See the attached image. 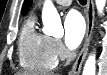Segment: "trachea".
Wrapping results in <instances>:
<instances>
[{
  "mask_svg": "<svg viewBox=\"0 0 107 75\" xmlns=\"http://www.w3.org/2000/svg\"><path fill=\"white\" fill-rule=\"evenodd\" d=\"M80 4L85 5L86 4V0H79Z\"/></svg>",
  "mask_w": 107,
  "mask_h": 75,
  "instance_id": "obj_1",
  "label": "trachea"
}]
</instances>
